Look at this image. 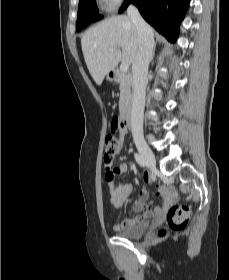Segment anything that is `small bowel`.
<instances>
[{"mask_svg":"<svg viewBox=\"0 0 229 280\" xmlns=\"http://www.w3.org/2000/svg\"><path fill=\"white\" fill-rule=\"evenodd\" d=\"M128 133V130H124L122 128L119 129V141L121 145L124 144V137ZM128 169V165L126 162H119L114 169L115 173L122 174L126 172ZM142 177L145 180L149 179L147 173H143ZM133 191V185L131 183H120L117 186L113 185V182H108V192L110 195L111 203L116 209H122L125 202L128 200L129 196ZM156 193L162 198L163 204L161 207H156L153 211V215L157 217H162L168 210L170 203L172 201L170 190L168 187L158 184L156 188ZM148 193L143 191L138 201H136L133 205V211L140 212H148L150 209V205L147 203ZM143 220V217L138 216L136 218L127 219L121 223L114 225V231H120L124 229H128L135 225L138 221Z\"/></svg>","mask_w":229,"mask_h":280,"instance_id":"small-bowel-1","label":"small bowel"}]
</instances>
